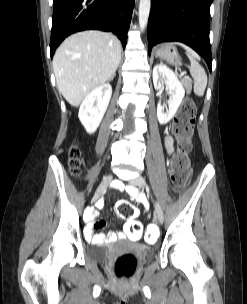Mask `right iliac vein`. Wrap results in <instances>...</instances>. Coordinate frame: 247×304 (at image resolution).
<instances>
[{
  "instance_id": "63e3f726",
  "label": "right iliac vein",
  "mask_w": 247,
  "mask_h": 304,
  "mask_svg": "<svg viewBox=\"0 0 247 304\" xmlns=\"http://www.w3.org/2000/svg\"><path fill=\"white\" fill-rule=\"evenodd\" d=\"M113 177L112 176H108L107 178H105L102 183L100 184V186L98 187L94 197H93V201L96 202L107 190L108 185L110 184V182L112 181Z\"/></svg>"
}]
</instances>
